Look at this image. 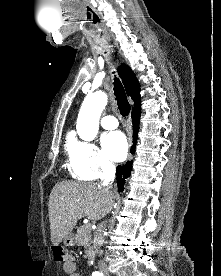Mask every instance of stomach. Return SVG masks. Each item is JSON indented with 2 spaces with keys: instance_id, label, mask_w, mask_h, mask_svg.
Instances as JSON below:
<instances>
[{
  "instance_id": "stomach-1",
  "label": "stomach",
  "mask_w": 221,
  "mask_h": 276,
  "mask_svg": "<svg viewBox=\"0 0 221 276\" xmlns=\"http://www.w3.org/2000/svg\"><path fill=\"white\" fill-rule=\"evenodd\" d=\"M64 245L66 246H73L75 245V235L73 233L68 234L63 241Z\"/></svg>"
}]
</instances>
